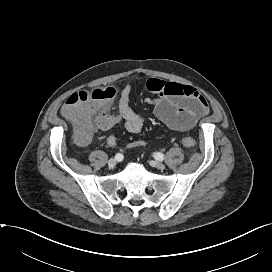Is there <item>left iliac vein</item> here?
Segmentation results:
<instances>
[{"label":"left iliac vein","instance_id":"1","mask_svg":"<svg viewBox=\"0 0 272 272\" xmlns=\"http://www.w3.org/2000/svg\"><path fill=\"white\" fill-rule=\"evenodd\" d=\"M151 165L159 170H163L165 168V165L161 162H158V161H152Z\"/></svg>","mask_w":272,"mask_h":272}]
</instances>
